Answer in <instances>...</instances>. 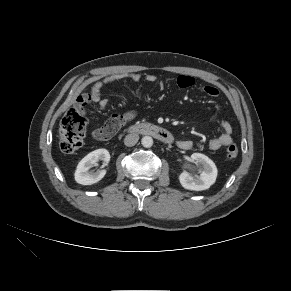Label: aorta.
<instances>
[{
    "label": "aorta",
    "instance_id": "obj_1",
    "mask_svg": "<svg viewBox=\"0 0 291 291\" xmlns=\"http://www.w3.org/2000/svg\"><path fill=\"white\" fill-rule=\"evenodd\" d=\"M141 144L146 147L150 148L153 145V139L150 136H144L141 140Z\"/></svg>",
    "mask_w": 291,
    "mask_h": 291
}]
</instances>
